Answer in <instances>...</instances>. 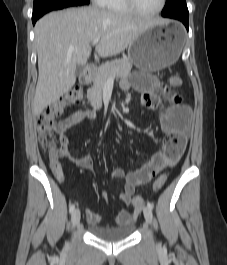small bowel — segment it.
<instances>
[{"instance_id":"c3829d8e","label":"small bowel","mask_w":227,"mask_h":265,"mask_svg":"<svg viewBox=\"0 0 227 265\" xmlns=\"http://www.w3.org/2000/svg\"><path fill=\"white\" fill-rule=\"evenodd\" d=\"M127 77L121 82V89L128 91L133 88L141 94L142 103L149 109L155 110L161 104V97L158 94L159 88L164 95L173 103L160 115V127L165 137L163 147L156 152L148 162L139 169L125 172L121 168H115L111 171V177L114 179H124L123 191L119 198L126 205L133 204V196L137 186L143 185L155 177L160 171L168 165L174 163L182 154L185 147L184 132L190 123V109L180 102V97L170 91L165 86H160L158 80L148 72H127ZM96 113L93 110L77 111L72 113L66 119L57 122L53 131L59 136V146L50 149V168L59 182H64L65 177L59 160L67 159L77 167L90 169L92 159L90 156H76L69 150V139L67 130L76 122L87 118L94 119ZM104 200H107L106 192L102 193ZM86 218L89 224L97 225L101 221L98 213L92 210H86ZM132 214L127 210H121L116 216V223L123 225L131 222Z\"/></svg>"}]
</instances>
